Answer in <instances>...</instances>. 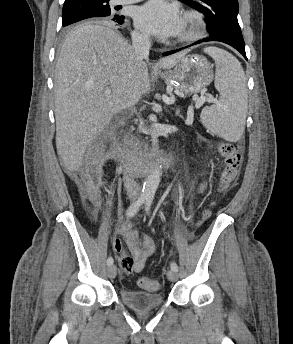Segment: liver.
<instances>
[{
  "instance_id": "liver-1",
  "label": "liver",
  "mask_w": 293,
  "mask_h": 344,
  "mask_svg": "<svg viewBox=\"0 0 293 344\" xmlns=\"http://www.w3.org/2000/svg\"><path fill=\"white\" fill-rule=\"evenodd\" d=\"M186 53L164 57L156 66L171 69ZM127 83L136 101L150 89L147 64L135 60L133 47L118 32L85 24L66 37L55 68L54 95L56 148L69 172L79 169L87 146L123 109Z\"/></svg>"
}]
</instances>
